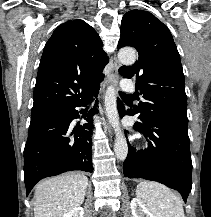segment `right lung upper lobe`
<instances>
[{"label":"right lung upper lobe","mask_w":211,"mask_h":217,"mask_svg":"<svg viewBox=\"0 0 211 217\" xmlns=\"http://www.w3.org/2000/svg\"><path fill=\"white\" fill-rule=\"evenodd\" d=\"M102 45L97 32L82 20L55 29L40 60L31 117L62 109L100 87L109 61Z\"/></svg>","instance_id":"1"}]
</instances>
